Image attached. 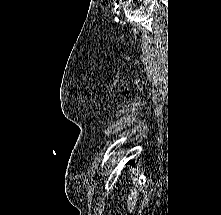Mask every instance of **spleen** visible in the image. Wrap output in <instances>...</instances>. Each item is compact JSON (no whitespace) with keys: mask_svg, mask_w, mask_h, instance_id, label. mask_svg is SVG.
<instances>
[{"mask_svg":"<svg viewBox=\"0 0 221 215\" xmlns=\"http://www.w3.org/2000/svg\"><path fill=\"white\" fill-rule=\"evenodd\" d=\"M137 187V185H136ZM137 196H138V191L137 190H131V193L128 197V208L130 210H133L135 205H136V201H137Z\"/></svg>","mask_w":221,"mask_h":215,"instance_id":"obj_1","label":"spleen"}]
</instances>
